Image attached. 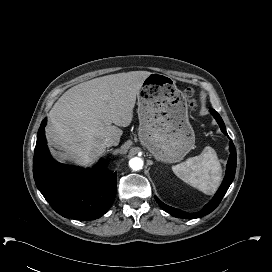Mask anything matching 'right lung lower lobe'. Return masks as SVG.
Listing matches in <instances>:
<instances>
[{
  "instance_id": "98d812e1",
  "label": "right lung lower lobe",
  "mask_w": 272,
  "mask_h": 272,
  "mask_svg": "<svg viewBox=\"0 0 272 272\" xmlns=\"http://www.w3.org/2000/svg\"><path fill=\"white\" fill-rule=\"evenodd\" d=\"M46 118L38 130L33 158V175L37 188L51 207L66 218L87 221L101 217L116 196V172L106 169L101 159L93 170L55 161L47 147Z\"/></svg>"
}]
</instances>
